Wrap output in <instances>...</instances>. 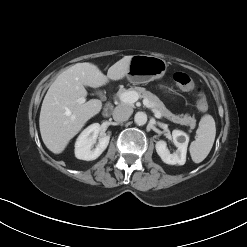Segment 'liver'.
I'll return each mask as SVG.
<instances>
[{
  "label": "liver",
  "instance_id": "6515ba94",
  "mask_svg": "<svg viewBox=\"0 0 247 247\" xmlns=\"http://www.w3.org/2000/svg\"><path fill=\"white\" fill-rule=\"evenodd\" d=\"M132 56H124L112 65L105 76L92 63H77L61 73L48 89L40 111L39 127L46 147L55 154L64 151L69 141L83 128L85 123L102 109V102L85 98V86L97 88L109 80H121L127 76Z\"/></svg>",
  "mask_w": 247,
  "mask_h": 247
}]
</instances>
